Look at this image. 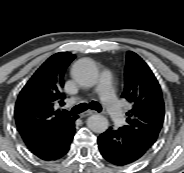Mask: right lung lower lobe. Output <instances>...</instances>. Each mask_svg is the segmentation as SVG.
<instances>
[{
  "instance_id": "98d812e1",
  "label": "right lung lower lobe",
  "mask_w": 184,
  "mask_h": 173,
  "mask_svg": "<svg viewBox=\"0 0 184 173\" xmlns=\"http://www.w3.org/2000/svg\"><path fill=\"white\" fill-rule=\"evenodd\" d=\"M75 134L74 121L25 141L29 150L42 160H57L69 150Z\"/></svg>"
}]
</instances>
